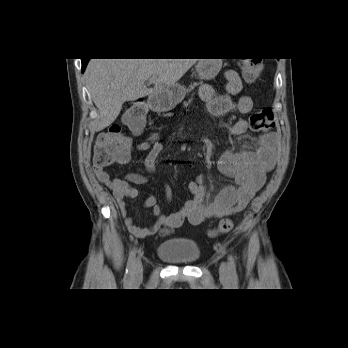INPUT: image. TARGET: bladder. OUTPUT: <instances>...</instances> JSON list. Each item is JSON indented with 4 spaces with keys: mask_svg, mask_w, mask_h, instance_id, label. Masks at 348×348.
<instances>
[{
    "mask_svg": "<svg viewBox=\"0 0 348 348\" xmlns=\"http://www.w3.org/2000/svg\"><path fill=\"white\" fill-rule=\"evenodd\" d=\"M156 255L172 265H190L200 256V249L193 241L171 240L158 245Z\"/></svg>",
    "mask_w": 348,
    "mask_h": 348,
    "instance_id": "1",
    "label": "bladder"
}]
</instances>
